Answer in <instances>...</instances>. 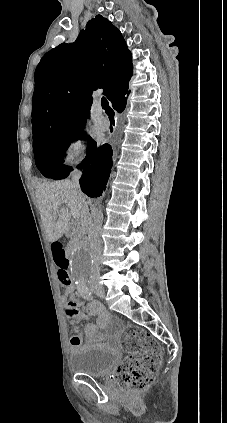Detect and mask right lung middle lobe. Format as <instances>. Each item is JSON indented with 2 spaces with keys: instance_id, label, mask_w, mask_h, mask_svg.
<instances>
[{
  "instance_id": "dd1d6c3e",
  "label": "right lung middle lobe",
  "mask_w": 227,
  "mask_h": 423,
  "mask_svg": "<svg viewBox=\"0 0 227 423\" xmlns=\"http://www.w3.org/2000/svg\"><path fill=\"white\" fill-rule=\"evenodd\" d=\"M84 138V132L54 135L33 141L35 163L40 172L47 178L64 179L72 171L71 167L62 164L64 152L77 139ZM92 139L89 138V144Z\"/></svg>"
}]
</instances>
